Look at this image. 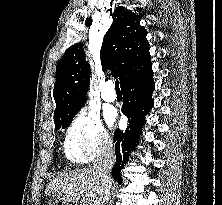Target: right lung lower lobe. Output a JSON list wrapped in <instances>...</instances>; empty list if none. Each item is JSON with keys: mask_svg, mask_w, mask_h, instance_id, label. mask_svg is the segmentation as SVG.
<instances>
[{"mask_svg": "<svg viewBox=\"0 0 222 205\" xmlns=\"http://www.w3.org/2000/svg\"><path fill=\"white\" fill-rule=\"evenodd\" d=\"M121 88L124 96L121 111L128 117V127L123 131L116 129L114 133L116 163L112 169V177L119 184L122 183L121 169L128 161L129 153L135 149L145 116L153 107L151 95L155 85L152 66L127 79L121 84Z\"/></svg>", "mask_w": 222, "mask_h": 205, "instance_id": "right-lung-lower-lobe-1", "label": "right lung lower lobe"}]
</instances>
